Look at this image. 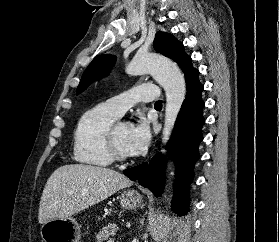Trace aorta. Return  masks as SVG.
Instances as JSON below:
<instances>
[{
	"instance_id": "obj_1",
	"label": "aorta",
	"mask_w": 279,
	"mask_h": 242,
	"mask_svg": "<svg viewBox=\"0 0 279 242\" xmlns=\"http://www.w3.org/2000/svg\"><path fill=\"white\" fill-rule=\"evenodd\" d=\"M129 75L149 73L166 93L165 119L162 143L165 145L173 131L177 115L185 99V79L178 66L166 57L156 54H137L126 67ZM164 153L165 150L163 149Z\"/></svg>"
}]
</instances>
